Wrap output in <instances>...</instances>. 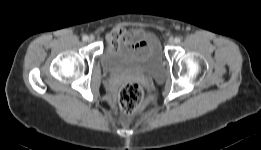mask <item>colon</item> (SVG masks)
I'll list each match as a JSON object with an SVG mask.
<instances>
[{"instance_id":"5ec220e1","label":"colon","mask_w":261,"mask_h":150,"mask_svg":"<svg viewBox=\"0 0 261 150\" xmlns=\"http://www.w3.org/2000/svg\"><path fill=\"white\" fill-rule=\"evenodd\" d=\"M118 100L123 112L127 114L135 113L142 105L143 89L138 82L128 81L121 86Z\"/></svg>"}]
</instances>
